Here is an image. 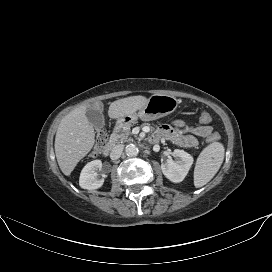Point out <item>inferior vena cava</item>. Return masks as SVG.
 <instances>
[{
  "mask_svg": "<svg viewBox=\"0 0 272 272\" xmlns=\"http://www.w3.org/2000/svg\"><path fill=\"white\" fill-rule=\"evenodd\" d=\"M123 149H124V145H122V144H118V145L114 146V148L112 149V151L110 153V158L112 160H116V159L120 158V156L123 152Z\"/></svg>",
  "mask_w": 272,
  "mask_h": 272,
  "instance_id": "1",
  "label": "inferior vena cava"
}]
</instances>
